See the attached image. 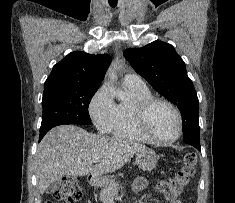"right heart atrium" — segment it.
I'll list each match as a JSON object with an SVG mask.
<instances>
[{"instance_id": "right-heart-atrium-1", "label": "right heart atrium", "mask_w": 235, "mask_h": 203, "mask_svg": "<svg viewBox=\"0 0 235 203\" xmlns=\"http://www.w3.org/2000/svg\"><path fill=\"white\" fill-rule=\"evenodd\" d=\"M116 104L113 101L110 90L106 85L100 86L93 94L89 105V115L101 132H107L115 115Z\"/></svg>"}]
</instances>
